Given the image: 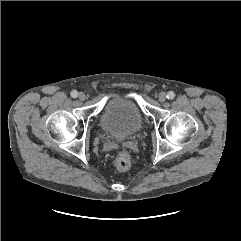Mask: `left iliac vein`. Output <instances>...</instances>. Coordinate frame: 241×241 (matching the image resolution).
<instances>
[{"instance_id":"1","label":"left iliac vein","mask_w":241,"mask_h":241,"mask_svg":"<svg viewBox=\"0 0 241 241\" xmlns=\"http://www.w3.org/2000/svg\"><path fill=\"white\" fill-rule=\"evenodd\" d=\"M158 100H159L160 102H164V101L166 100V93H165V92L159 93V95H158Z\"/></svg>"}]
</instances>
